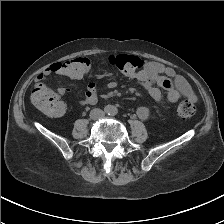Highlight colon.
I'll return each mask as SVG.
<instances>
[{
  "label": "colon",
  "instance_id": "5ec220e1",
  "mask_svg": "<svg viewBox=\"0 0 224 224\" xmlns=\"http://www.w3.org/2000/svg\"><path fill=\"white\" fill-rule=\"evenodd\" d=\"M104 63L117 69L124 75L138 71L144 65L136 56L126 54H113L103 60ZM92 62L86 57H77L62 62L63 76L71 79H80L91 70ZM31 101L42 113L51 117H60L65 112V104L58 96L45 85H37L31 93ZM178 113L182 118H191L196 113L194 103L188 99L180 102Z\"/></svg>",
  "mask_w": 224,
  "mask_h": 224
}]
</instances>
